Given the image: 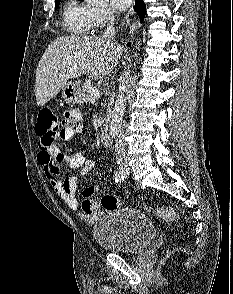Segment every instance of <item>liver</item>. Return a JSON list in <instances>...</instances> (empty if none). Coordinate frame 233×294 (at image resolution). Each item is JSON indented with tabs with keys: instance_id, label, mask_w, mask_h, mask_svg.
I'll return each mask as SVG.
<instances>
[{
	"instance_id": "liver-1",
	"label": "liver",
	"mask_w": 233,
	"mask_h": 294,
	"mask_svg": "<svg viewBox=\"0 0 233 294\" xmlns=\"http://www.w3.org/2000/svg\"><path fill=\"white\" fill-rule=\"evenodd\" d=\"M123 46L99 36H66L54 39L45 50L36 70L35 96L43 107L69 79L87 73L102 79L119 62Z\"/></svg>"
}]
</instances>
